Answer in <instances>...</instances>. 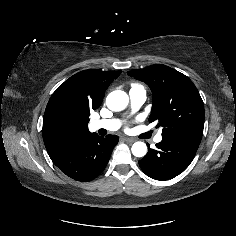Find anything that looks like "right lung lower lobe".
Instances as JSON below:
<instances>
[{
    "label": "right lung lower lobe",
    "mask_w": 236,
    "mask_h": 236,
    "mask_svg": "<svg viewBox=\"0 0 236 236\" xmlns=\"http://www.w3.org/2000/svg\"><path fill=\"white\" fill-rule=\"evenodd\" d=\"M118 140L116 135L104 138L93 133L67 149L53 163L76 181H91L105 169Z\"/></svg>",
    "instance_id": "1"
}]
</instances>
